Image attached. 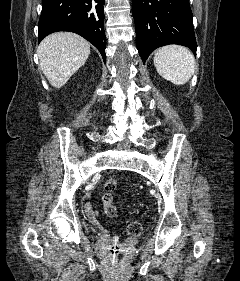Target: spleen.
<instances>
[{"instance_id": "spleen-1", "label": "spleen", "mask_w": 240, "mask_h": 281, "mask_svg": "<svg viewBox=\"0 0 240 281\" xmlns=\"http://www.w3.org/2000/svg\"><path fill=\"white\" fill-rule=\"evenodd\" d=\"M153 61L159 75L175 85L187 83L195 71L193 54L180 45H166L157 49Z\"/></svg>"}]
</instances>
